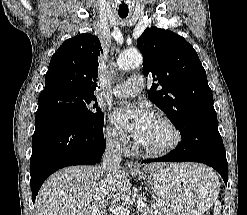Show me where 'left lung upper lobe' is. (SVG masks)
<instances>
[{
    "label": "left lung upper lobe",
    "mask_w": 247,
    "mask_h": 215,
    "mask_svg": "<svg viewBox=\"0 0 247 215\" xmlns=\"http://www.w3.org/2000/svg\"><path fill=\"white\" fill-rule=\"evenodd\" d=\"M137 46L143 54L144 74L153 79L148 97L166 113L181 137L217 128L212 91L194 48L183 37L156 27L147 28Z\"/></svg>",
    "instance_id": "obj_1"
}]
</instances>
